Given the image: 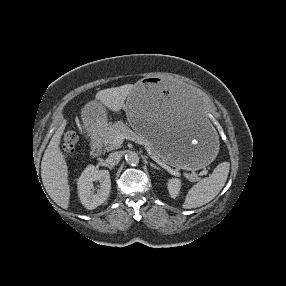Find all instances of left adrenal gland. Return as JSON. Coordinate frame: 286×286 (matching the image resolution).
<instances>
[{
  "mask_svg": "<svg viewBox=\"0 0 286 286\" xmlns=\"http://www.w3.org/2000/svg\"><path fill=\"white\" fill-rule=\"evenodd\" d=\"M150 166H151L152 168H154V169L160 170V168L157 167V166H156L155 164H153V163H150Z\"/></svg>",
  "mask_w": 286,
  "mask_h": 286,
  "instance_id": "left-adrenal-gland-1",
  "label": "left adrenal gland"
}]
</instances>
